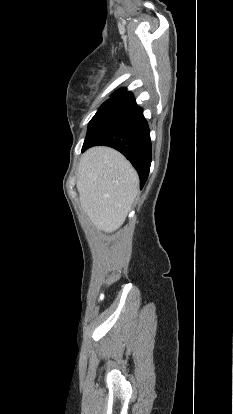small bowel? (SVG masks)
Masks as SVG:
<instances>
[{
  "label": "small bowel",
  "instance_id": "c3829d8e",
  "mask_svg": "<svg viewBox=\"0 0 233 414\" xmlns=\"http://www.w3.org/2000/svg\"><path fill=\"white\" fill-rule=\"evenodd\" d=\"M103 298H104L103 295H99L98 299H99V301H101V300H103Z\"/></svg>",
  "mask_w": 233,
  "mask_h": 414
}]
</instances>
